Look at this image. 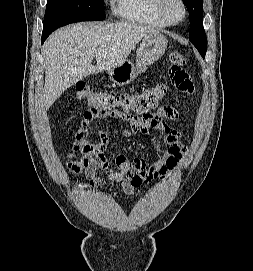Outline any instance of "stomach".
<instances>
[{
	"mask_svg": "<svg viewBox=\"0 0 253 271\" xmlns=\"http://www.w3.org/2000/svg\"><path fill=\"white\" fill-rule=\"evenodd\" d=\"M167 48V39L159 32L145 36L137 49L136 61H124L108 71L110 80L117 85L131 83L148 66L160 59Z\"/></svg>",
	"mask_w": 253,
	"mask_h": 271,
	"instance_id": "1",
	"label": "stomach"
}]
</instances>
